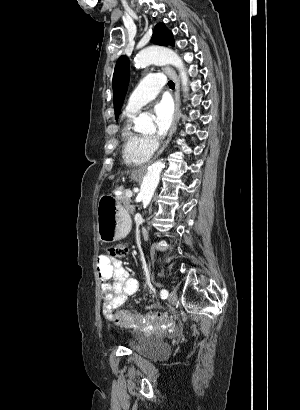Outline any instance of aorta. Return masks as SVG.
I'll list each match as a JSON object with an SVG mask.
<instances>
[{"label": "aorta", "mask_w": 300, "mask_h": 410, "mask_svg": "<svg viewBox=\"0 0 300 410\" xmlns=\"http://www.w3.org/2000/svg\"><path fill=\"white\" fill-rule=\"evenodd\" d=\"M134 63L136 68L145 67L150 64L173 65L179 71L183 91H188V76L183 60L173 50L162 47H149L143 49L136 55ZM134 125L135 130L139 132H146L153 128L152 119L144 113L135 119ZM164 166L165 163L163 160H159L148 167L139 192V198L144 205L150 203L159 184L160 175Z\"/></svg>", "instance_id": "1"}]
</instances>
